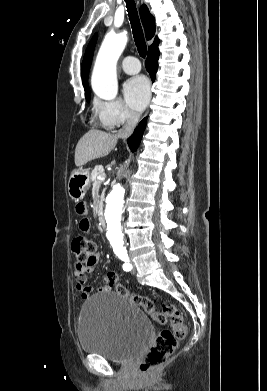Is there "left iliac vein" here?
I'll return each mask as SVG.
<instances>
[{"instance_id":"4c4485c4","label":"left iliac vein","mask_w":267,"mask_h":391,"mask_svg":"<svg viewBox=\"0 0 267 391\" xmlns=\"http://www.w3.org/2000/svg\"><path fill=\"white\" fill-rule=\"evenodd\" d=\"M132 274H135L136 273V267L135 265L133 264V268H132V271H131Z\"/></svg>"}]
</instances>
